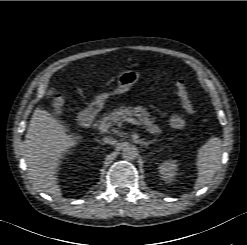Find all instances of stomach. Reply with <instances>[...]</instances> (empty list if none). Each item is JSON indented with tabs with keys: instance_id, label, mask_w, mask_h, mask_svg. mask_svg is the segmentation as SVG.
<instances>
[{
	"instance_id": "stomach-1",
	"label": "stomach",
	"mask_w": 247,
	"mask_h": 245,
	"mask_svg": "<svg viewBox=\"0 0 247 245\" xmlns=\"http://www.w3.org/2000/svg\"><path fill=\"white\" fill-rule=\"evenodd\" d=\"M140 72L137 70H125L117 76V87L112 92H103L98 94L94 101L91 103V107L94 109L103 108L106 100L110 96L121 95L128 92L139 80Z\"/></svg>"
}]
</instances>
